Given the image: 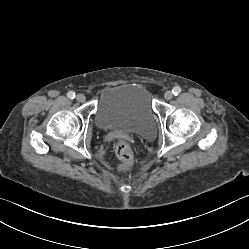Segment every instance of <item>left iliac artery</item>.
Returning <instances> with one entry per match:
<instances>
[{"instance_id": "obj_1", "label": "left iliac artery", "mask_w": 249, "mask_h": 249, "mask_svg": "<svg viewBox=\"0 0 249 249\" xmlns=\"http://www.w3.org/2000/svg\"><path fill=\"white\" fill-rule=\"evenodd\" d=\"M172 93L176 96V95H179L181 93V88L179 86H175L173 89H172Z\"/></svg>"}]
</instances>
